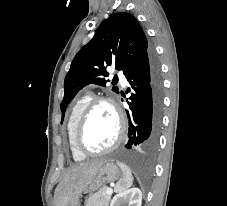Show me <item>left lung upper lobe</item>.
Segmentation results:
<instances>
[{"instance_id":"left-lung-upper-lobe-1","label":"left lung upper lobe","mask_w":227,"mask_h":206,"mask_svg":"<svg viewBox=\"0 0 227 206\" xmlns=\"http://www.w3.org/2000/svg\"><path fill=\"white\" fill-rule=\"evenodd\" d=\"M150 50L138 21L129 13H114L104 20L95 35L74 57L65 77L61 103L62 121L71 100L84 86H105L106 67L114 65L126 75ZM116 86L113 91H117Z\"/></svg>"}]
</instances>
